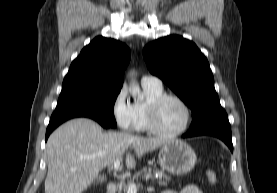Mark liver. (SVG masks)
<instances>
[{
    "instance_id": "6515ba94",
    "label": "liver",
    "mask_w": 277,
    "mask_h": 193,
    "mask_svg": "<svg viewBox=\"0 0 277 193\" xmlns=\"http://www.w3.org/2000/svg\"><path fill=\"white\" fill-rule=\"evenodd\" d=\"M167 139L144 138L128 133L103 132L86 118L73 119L57 128L46 145L48 173L45 193H82L98 178L99 172L126 153V166H136V156L161 147Z\"/></svg>"
}]
</instances>
